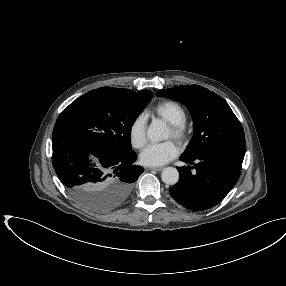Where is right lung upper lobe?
<instances>
[{
    "mask_svg": "<svg viewBox=\"0 0 286 286\" xmlns=\"http://www.w3.org/2000/svg\"><path fill=\"white\" fill-rule=\"evenodd\" d=\"M118 89H120V90H122V91H124V92H128V93H135V92H133V91H131V90H129V89H121V88H118ZM147 91H149V90H143V91H140V92L135 93V94H143V93H145V92H147ZM150 92H151V91H150Z\"/></svg>",
    "mask_w": 286,
    "mask_h": 286,
    "instance_id": "1",
    "label": "right lung upper lobe"
}]
</instances>
